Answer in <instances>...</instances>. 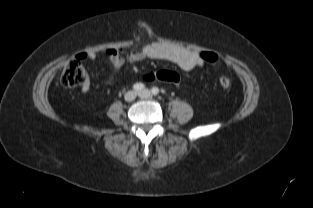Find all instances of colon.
<instances>
[{
    "mask_svg": "<svg viewBox=\"0 0 313 208\" xmlns=\"http://www.w3.org/2000/svg\"><path fill=\"white\" fill-rule=\"evenodd\" d=\"M201 58L205 63L217 64L219 57L216 53L211 51H204L200 53ZM144 78L148 81H162L179 86L181 82L180 75L175 71L159 70L149 72L144 75ZM61 82L65 87L74 88L84 86L87 82L86 72L79 60L70 61L65 67ZM219 84L223 89H229L231 87L230 77L224 75L219 79Z\"/></svg>",
    "mask_w": 313,
    "mask_h": 208,
    "instance_id": "1",
    "label": "colon"
}]
</instances>
